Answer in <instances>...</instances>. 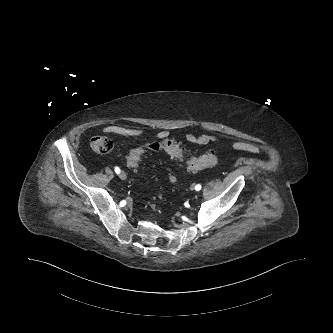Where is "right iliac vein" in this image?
<instances>
[{"label": "right iliac vein", "mask_w": 333, "mask_h": 333, "mask_svg": "<svg viewBox=\"0 0 333 333\" xmlns=\"http://www.w3.org/2000/svg\"><path fill=\"white\" fill-rule=\"evenodd\" d=\"M119 177H120V179L125 180V179L127 178V175H126L125 172L121 171V172L119 173Z\"/></svg>", "instance_id": "63e3f726"}]
</instances>
